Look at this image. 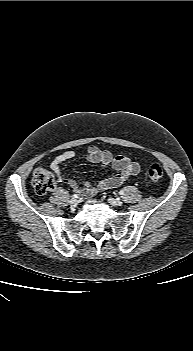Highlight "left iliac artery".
<instances>
[{"mask_svg":"<svg viewBox=\"0 0 193 351\" xmlns=\"http://www.w3.org/2000/svg\"><path fill=\"white\" fill-rule=\"evenodd\" d=\"M119 194H120V195H123V194H124V191H123V190H120V191H119Z\"/></svg>","mask_w":193,"mask_h":351,"instance_id":"1","label":"left iliac artery"}]
</instances>
